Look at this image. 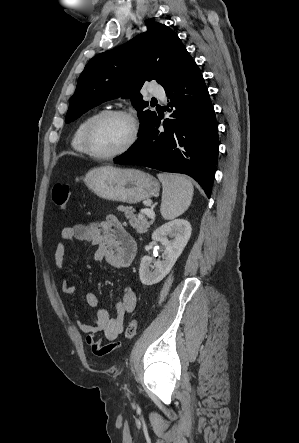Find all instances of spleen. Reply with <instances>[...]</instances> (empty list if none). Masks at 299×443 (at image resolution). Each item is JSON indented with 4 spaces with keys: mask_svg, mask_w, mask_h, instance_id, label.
<instances>
[{
    "mask_svg": "<svg viewBox=\"0 0 299 443\" xmlns=\"http://www.w3.org/2000/svg\"><path fill=\"white\" fill-rule=\"evenodd\" d=\"M158 178L163 186L161 215L172 220L188 209L194 188L191 181L182 176L159 174Z\"/></svg>",
    "mask_w": 299,
    "mask_h": 443,
    "instance_id": "spleen-1",
    "label": "spleen"
}]
</instances>
